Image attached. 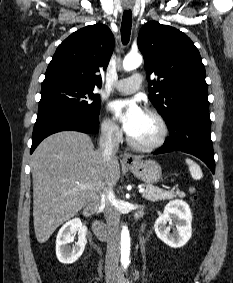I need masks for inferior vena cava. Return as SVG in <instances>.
Returning <instances> with one entry per match:
<instances>
[{
	"instance_id": "obj_1",
	"label": "inferior vena cava",
	"mask_w": 233,
	"mask_h": 283,
	"mask_svg": "<svg viewBox=\"0 0 233 283\" xmlns=\"http://www.w3.org/2000/svg\"><path fill=\"white\" fill-rule=\"evenodd\" d=\"M99 150L102 152L104 163L107 164L118 152L119 143L116 138V127L107 126L101 132ZM115 195L111 187L103 188L101 206L108 226L107 252L105 268H117L120 256L119 221L120 214L115 207Z\"/></svg>"
}]
</instances>
